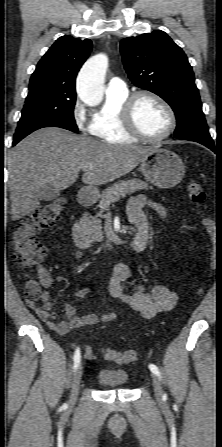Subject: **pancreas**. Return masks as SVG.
<instances>
[{"mask_svg":"<svg viewBox=\"0 0 222 447\" xmlns=\"http://www.w3.org/2000/svg\"><path fill=\"white\" fill-rule=\"evenodd\" d=\"M148 184L140 179H130L119 181L108 187L100 195V214L108 210L111 203L118 201L121 197H125L126 194H132L139 190H147ZM152 189V187H150ZM84 226L88 234L94 241L103 240V232L101 220L97 216H87L84 219Z\"/></svg>","mask_w":222,"mask_h":447,"instance_id":"cf45deb5","label":"pancreas"}]
</instances>
